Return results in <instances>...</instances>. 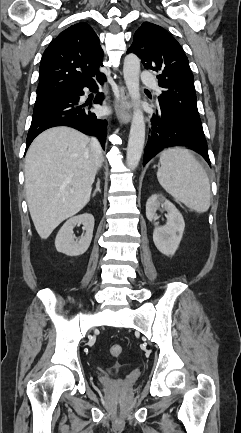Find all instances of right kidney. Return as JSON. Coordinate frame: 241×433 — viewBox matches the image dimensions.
Listing matches in <instances>:
<instances>
[{"mask_svg": "<svg viewBox=\"0 0 241 433\" xmlns=\"http://www.w3.org/2000/svg\"><path fill=\"white\" fill-rule=\"evenodd\" d=\"M77 224H82L86 233L79 240L75 241L73 229ZM93 229L94 217L92 214L84 213L70 218L65 222L56 236V250L67 256H79L84 254L90 246L93 237Z\"/></svg>", "mask_w": 241, "mask_h": 433, "instance_id": "obj_1", "label": "right kidney"}]
</instances>
